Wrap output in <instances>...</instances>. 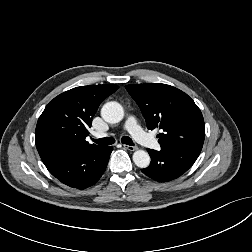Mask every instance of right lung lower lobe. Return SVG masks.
<instances>
[{"instance_id": "obj_1", "label": "right lung lower lobe", "mask_w": 252, "mask_h": 252, "mask_svg": "<svg viewBox=\"0 0 252 252\" xmlns=\"http://www.w3.org/2000/svg\"><path fill=\"white\" fill-rule=\"evenodd\" d=\"M112 150V147L76 149L58 154L44 164L62 183L77 189H85L100 179Z\"/></svg>"}]
</instances>
